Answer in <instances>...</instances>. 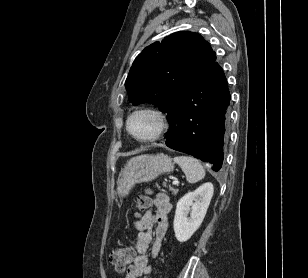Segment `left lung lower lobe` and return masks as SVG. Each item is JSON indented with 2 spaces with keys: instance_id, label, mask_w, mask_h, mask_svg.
<instances>
[{
  "instance_id": "obj_1",
  "label": "left lung lower lobe",
  "mask_w": 308,
  "mask_h": 278,
  "mask_svg": "<svg viewBox=\"0 0 308 278\" xmlns=\"http://www.w3.org/2000/svg\"><path fill=\"white\" fill-rule=\"evenodd\" d=\"M229 103L227 80L216 62L194 79L168 109L171 126L165 144L209 162L214 171H219L227 139Z\"/></svg>"
}]
</instances>
